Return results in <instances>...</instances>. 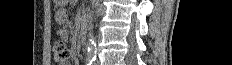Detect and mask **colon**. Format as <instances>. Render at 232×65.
I'll use <instances>...</instances> for the list:
<instances>
[{
  "label": "colon",
  "instance_id": "1",
  "mask_svg": "<svg viewBox=\"0 0 232 65\" xmlns=\"http://www.w3.org/2000/svg\"><path fill=\"white\" fill-rule=\"evenodd\" d=\"M53 54L54 59L60 64L67 61L70 57V51L63 41H58L54 44Z\"/></svg>",
  "mask_w": 232,
  "mask_h": 65
}]
</instances>
